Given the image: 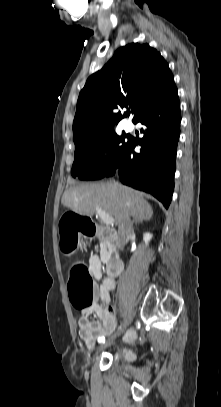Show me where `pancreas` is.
Instances as JSON below:
<instances>
[{
  "label": "pancreas",
  "mask_w": 221,
  "mask_h": 407,
  "mask_svg": "<svg viewBox=\"0 0 221 407\" xmlns=\"http://www.w3.org/2000/svg\"><path fill=\"white\" fill-rule=\"evenodd\" d=\"M106 236L101 238V259L103 262H107L109 256L115 249L113 236L110 234L109 230L105 231Z\"/></svg>",
  "instance_id": "obj_1"
}]
</instances>
